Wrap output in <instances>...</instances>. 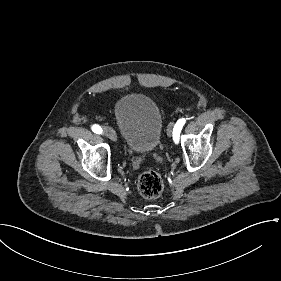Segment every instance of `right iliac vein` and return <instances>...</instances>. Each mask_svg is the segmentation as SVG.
<instances>
[{
  "label": "right iliac vein",
  "instance_id": "1",
  "mask_svg": "<svg viewBox=\"0 0 281 281\" xmlns=\"http://www.w3.org/2000/svg\"><path fill=\"white\" fill-rule=\"evenodd\" d=\"M103 129H104L105 135H106L108 138H110V139L113 140V141H116V140H117L116 133H115V131H114L111 127L105 126Z\"/></svg>",
  "mask_w": 281,
  "mask_h": 281
}]
</instances>
